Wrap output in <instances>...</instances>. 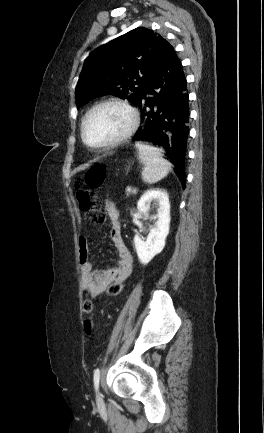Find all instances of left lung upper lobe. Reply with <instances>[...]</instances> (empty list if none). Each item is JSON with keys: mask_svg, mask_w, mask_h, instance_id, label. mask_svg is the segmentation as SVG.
<instances>
[{"mask_svg": "<svg viewBox=\"0 0 264 433\" xmlns=\"http://www.w3.org/2000/svg\"><path fill=\"white\" fill-rule=\"evenodd\" d=\"M173 50L162 36L143 27L98 47L84 62L76 87V105L108 94L137 104Z\"/></svg>", "mask_w": 264, "mask_h": 433, "instance_id": "1", "label": "left lung upper lobe"}]
</instances>
